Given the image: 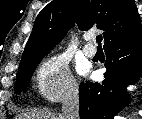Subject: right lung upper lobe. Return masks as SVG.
<instances>
[{"instance_id": "1", "label": "right lung upper lobe", "mask_w": 142, "mask_h": 119, "mask_svg": "<svg viewBox=\"0 0 142 119\" xmlns=\"http://www.w3.org/2000/svg\"><path fill=\"white\" fill-rule=\"evenodd\" d=\"M74 23L83 31L96 23L103 31L104 47L142 30L134 0H53L35 20L20 67L46 55Z\"/></svg>"}]
</instances>
